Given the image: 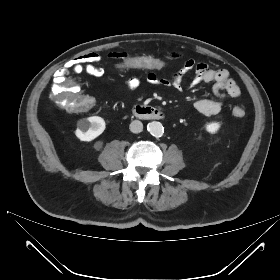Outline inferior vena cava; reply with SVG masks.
Returning <instances> with one entry per match:
<instances>
[{
    "instance_id": "inferior-vena-cava-1",
    "label": "inferior vena cava",
    "mask_w": 280,
    "mask_h": 280,
    "mask_svg": "<svg viewBox=\"0 0 280 280\" xmlns=\"http://www.w3.org/2000/svg\"><path fill=\"white\" fill-rule=\"evenodd\" d=\"M129 129L133 133H140L143 130V124L139 120H134L130 123Z\"/></svg>"
}]
</instances>
